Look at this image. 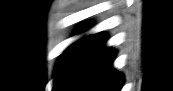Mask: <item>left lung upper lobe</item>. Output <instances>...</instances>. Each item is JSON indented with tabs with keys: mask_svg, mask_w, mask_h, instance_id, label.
<instances>
[{
	"mask_svg": "<svg viewBox=\"0 0 173 91\" xmlns=\"http://www.w3.org/2000/svg\"><path fill=\"white\" fill-rule=\"evenodd\" d=\"M85 30L82 29L81 31ZM83 39L73 43L71 46H69L63 53L62 55L60 56V58L58 59L57 61V64H56V67H55V72H54V75H55V84L54 86L56 85L59 77H60V74L69 58V56L71 55V53L75 50V48L82 42Z\"/></svg>",
	"mask_w": 173,
	"mask_h": 91,
	"instance_id": "obj_1",
	"label": "left lung upper lobe"
}]
</instances>
